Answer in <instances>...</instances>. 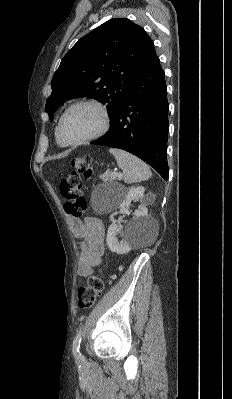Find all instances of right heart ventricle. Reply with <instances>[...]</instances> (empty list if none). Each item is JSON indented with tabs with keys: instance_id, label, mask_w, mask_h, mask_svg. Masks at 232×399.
Listing matches in <instances>:
<instances>
[{
	"instance_id": "1",
	"label": "right heart ventricle",
	"mask_w": 232,
	"mask_h": 399,
	"mask_svg": "<svg viewBox=\"0 0 232 399\" xmlns=\"http://www.w3.org/2000/svg\"><path fill=\"white\" fill-rule=\"evenodd\" d=\"M55 140H56V143L58 144V146H60V147H62V148L68 147V145L65 144V143L60 139V137H59V135H58V132H57V126H56V128H55Z\"/></svg>"
}]
</instances>
